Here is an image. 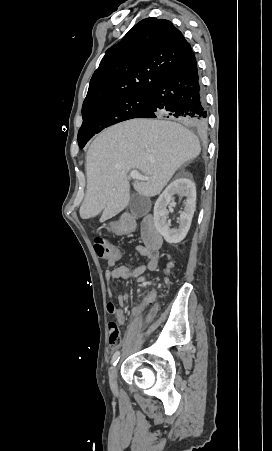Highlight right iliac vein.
I'll use <instances>...</instances> for the list:
<instances>
[{
	"label": "right iliac vein",
	"mask_w": 272,
	"mask_h": 451,
	"mask_svg": "<svg viewBox=\"0 0 272 451\" xmlns=\"http://www.w3.org/2000/svg\"><path fill=\"white\" fill-rule=\"evenodd\" d=\"M117 369L113 368L109 374V384L112 389L116 388Z\"/></svg>",
	"instance_id": "63e3f726"
}]
</instances>
